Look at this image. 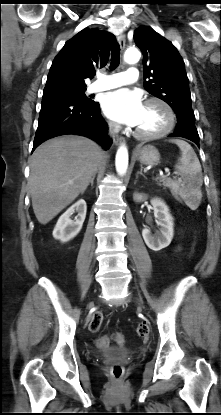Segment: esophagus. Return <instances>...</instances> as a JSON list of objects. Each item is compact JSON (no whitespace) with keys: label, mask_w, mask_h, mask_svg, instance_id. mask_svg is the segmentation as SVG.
Masks as SVG:
<instances>
[{"label":"esophagus","mask_w":221,"mask_h":415,"mask_svg":"<svg viewBox=\"0 0 221 415\" xmlns=\"http://www.w3.org/2000/svg\"><path fill=\"white\" fill-rule=\"evenodd\" d=\"M117 40H118V43H119V45H120V48H121V50H124V48H125V45H126V39H125V35L124 34H120V35H118V37H117ZM124 137H122V136H118V135H116V136H114V138H113V142H114V144L115 145H120V144H122V143H124Z\"/></svg>","instance_id":"obj_1"}]
</instances>
